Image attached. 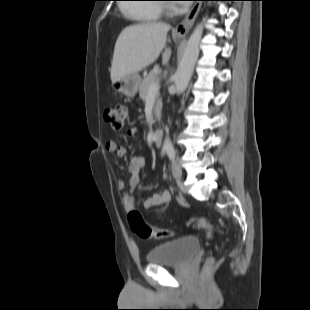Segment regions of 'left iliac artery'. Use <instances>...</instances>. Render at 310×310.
Segmentation results:
<instances>
[{"instance_id":"obj_1","label":"left iliac artery","mask_w":310,"mask_h":310,"mask_svg":"<svg viewBox=\"0 0 310 310\" xmlns=\"http://www.w3.org/2000/svg\"><path fill=\"white\" fill-rule=\"evenodd\" d=\"M166 152H167V155H168L170 160H174L175 159L176 152H175V149L172 146L166 148Z\"/></svg>"}]
</instances>
